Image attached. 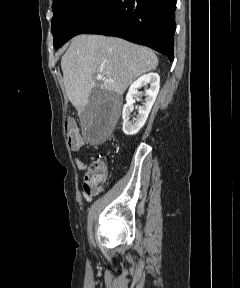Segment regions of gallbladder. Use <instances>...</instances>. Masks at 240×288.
Instances as JSON below:
<instances>
[{"label": "gallbladder", "instance_id": "bac80fb5", "mask_svg": "<svg viewBox=\"0 0 240 288\" xmlns=\"http://www.w3.org/2000/svg\"><path fill=\"white\" fill-rule=\"evenodd\" d=\"M115 102L106 91L94 89L89 97V103L81 113L82 123L87 125L94 118L108 120L114 111Z\"/></svg>", "mask_w": 240, "mask_h": 288}]
</instances>
